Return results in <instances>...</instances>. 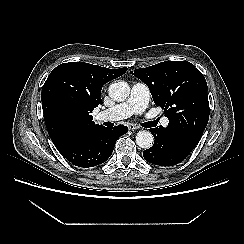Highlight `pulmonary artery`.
I'll list each match as a JSON object with an SVG mask.
<instances>
[{
	"instance_id": "pulmonary-artery-1",
	"label": "pulmonary artery",
	"mask_w": 244,
	"mask_h": 244,
	"mask_svg": "<svg viewBox=\"0 0 244 244\" xmlns=\"http://www.w3.org/2000/svg\"><path fill=\"white\" fill-rule=\"evenodd\" d=\"M150 92L148 87L143 83H135L131 88L129 98L109 109L102 111L99 117L104 120L125 119L133 114H142L149 103ZM169 120L163 118L161 124L167 126Z\"/></svg>"
}]
</instances>
